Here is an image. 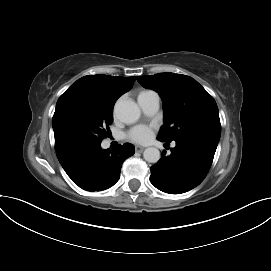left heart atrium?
I'll use <instances>...</instances> for the list:
<instances>
[{
	"label": "left heart atrium",
	"mask_w": 271,
	"mask_h": 271,
	"mask_svg": "<svg viewBox=\"0 0 271 271\" xmlns=\"http://www.w3.org/2000/svg\"><path fill=\"white\" fill-rule=\"evenodd\" d=\"M127 137L133 142L145 144L152 139L153 130L150 127L144 125L135 126L129 130Z\"/></svg>",
	"instance_id": "39dd6f15"
}]
</instances>
